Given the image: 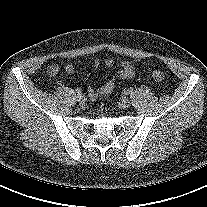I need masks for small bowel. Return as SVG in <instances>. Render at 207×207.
<instances>
[{"label":"small bowel","instance_id":"small-bowel-1","mask_svg":"<svg viewBox=\"0 0 207 207\" xmlns=\"http://www.w3.org/2000/svg\"><path fill=\"white\" fill-rule=\"evenodd\" d=\"M99 64H100L99 60L94 61L95 67H98ZM114 65H115V62L113 59L108 58L105 60L106 67L112 68ZM59 70H60V67L58 65H56V64L51 65L49 68V74L53 76V75L57 74ZM64 70L66 73L72 74V73H74V66L72 64H66L64 66ZM134 75H135V69H134L132 63L129 61H122L119 64V70H118L116 76H114L113 78L108 80L104 85H102L99 88L88 87V89H87L88 96L91 99H96L100 96L108 95L113 91V89L115 87V80L117 77L128 79V78L134 77Z\"/></svg>","mask_w":207,"mask_h":207}]
</instances>
